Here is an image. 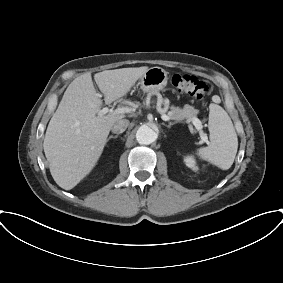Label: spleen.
<instances>
[{"label":"spleen","instance_id":"obj_1","mask_svg":"<svg viewBox=\"0 0 283 283\" xmlns=\"http://www.w3.org/2000/svg\"><path fill=\"white\" fill-rule=\"evenodd\" d=\"M209 110L210 145L197 149L196 154L202 160L228 170L237 154V134L229 115L221 106L211 103Z\"/></svg>","mask_w":283,"mask_h":283}]
</instances>
